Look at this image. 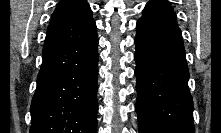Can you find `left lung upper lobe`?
<instances>
[{
	"label": "left lung upper lobe",
	"mask_w": 221,
	"mask_h": 133,
	"mask_svg": "<svg viewBox=\"0 0 221 133\" xmlns=\"http://www.w3.org/2000/svg\"><path fill=\"white\" fill-rule=\"evenodd\" d=\"M140 20L157 21L176 25V14L166 0H151L145 6Z\"/></svg>",
	"instance_id": "obj_1"
}]
</instances>
